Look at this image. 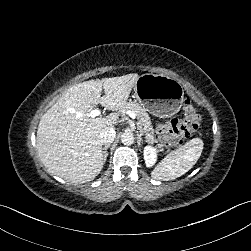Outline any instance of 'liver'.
<instances>
[{
  "mask_svg": "<svg viewBox=\"0 0 251 251\" xmlns=\"http://www.w3.org/2000/svg\"><path fill=\"white\" fill-rule=\"evenodd\" d=\"M138 74L90 80L67 89L59 101L40 119L36 148L40 160L53 174L73 183L94 179L102 170L99 134L111 123L101 118H77L69 109L89 112L95 105L117 110L124 102ZM104 89L105 94L101 96Z\"/></svg>",
  "mask_w": 251,
  "mask_h": 251,
  "instance_id": "liver-1",
  "label": "liver"
}]
</instances>
